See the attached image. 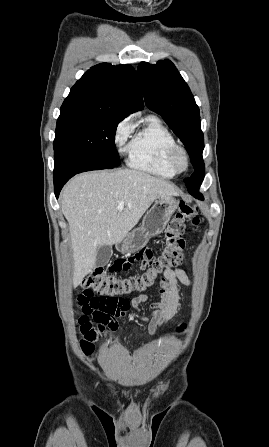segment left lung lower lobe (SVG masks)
Here are the masks:
<instances>
[{"label": "left lung lower lobe", "mask_w": 269, "mask_h": 447, "mask_svg": "<svg viewBox=\"0 0 269 447\" xmlns=\"http://www.w3.org/2000/svg\"><path fill=\"white\" fill-rule=\"evenodd\" d=\"M198 189L199 188L193 189L190 191V193L195 197L201 198V194L198 192Z\"/></svg>", "instance_id": "1"}]
</instances>
